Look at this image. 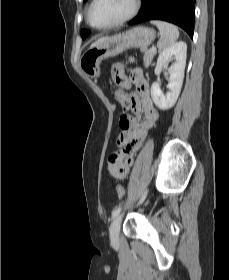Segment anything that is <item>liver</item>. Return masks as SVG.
I'll return each instance as SVG.
<instances>
[{
    "instance_id": "6515ba94",
    "label": "liver",
    "mask_w": 229,
    "mask_h": 280,
    "mask_svg": "<svg viewBox=\"0 0 229 280\" xmlns=\"http://www.w3.org/2000/svg\"><path fill=\"white\" fill-rule=\"evenodd\" d=\"M108 38H109L108 36L99 38L98 40H96V41L90 46V48H92V47H94V46H97V45L103 43V42L106 41Z\"/></svg>"
}]
</instances>
